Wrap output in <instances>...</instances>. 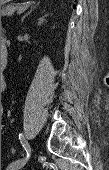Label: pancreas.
Masks as SVG:
<instances>
[{
	"mask_svg": "<svg viewBox=\"0 0 109 170\" xmlns=\"http://www.w3.org/2000/svg\"><path fill=\"white\" fill-rule=\"evenodd\" d=\"M20 8V5H8L5 8L1 9V16H12L13 13Z\"/></svg>",
	"mask_w": 109,
	"mask_h": 170,
	"instance_id": "1",
	"label": "pancreas"
}]
</instances>
